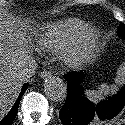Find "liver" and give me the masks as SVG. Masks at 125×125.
<instances>
[{"label":"liver","instance_id":"obj_1","mask_svg":"<svg viewBox=\"0 0 125 125\" xmlns=\"http://www.w3.org/2000/svg\"><path fill=\"white\" fill-rule=\"evenodd\" d=\"M10 23L0 18V119L16 100L23 81L19 71L24 55L15 50Z\"/></svg>","mask_w":125,"mask_h":125}]
</instances>
